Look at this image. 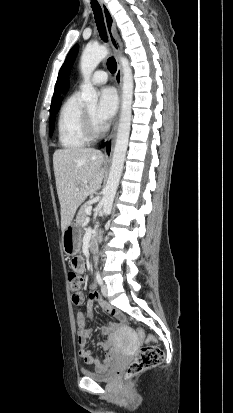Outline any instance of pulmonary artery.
Listing matches in <instances>:
<instances>
[{
	"instance_id": "pulmonary-artery-1",
	"label": "pulmonary artery",
	"mask_w": 233,
	"mask_h": 413,
	"mask_svg": "<svg viewBox=\"0 0 233 413\" xmlns=\"http://www.w3.org/2000/svg\"><path fill=\"white\" fill-rule=\"evenodd\" d=\"M108 80V75L103 70H98L93 73L91 77V82L96 85L104 84Z\"/></svg>"
}]
</instances>
